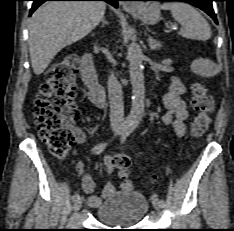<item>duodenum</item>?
Wrapping results in <instances>:
<instances>
[{
	"label": "duodenum",
	"mask_w": 234,
	"mask_h": 231,
	"mask_svg": "<svg viewBox=\"0 0 234 231\" xmlns=\"http://www.w3.org/2000/svg\"><path fill=\"white\" fill-rule=\"evenodd\" d=\"M81 74L85 85L90 90V96L97 105L104 103L105 90L97 77L94 58L90 54H86L81 64Z\"/></svg>",
	"instance_id": "duodenum-1"
}]
</instances>
